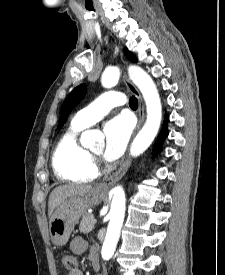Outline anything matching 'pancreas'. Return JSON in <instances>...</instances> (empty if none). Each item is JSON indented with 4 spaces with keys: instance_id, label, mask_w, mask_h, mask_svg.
Returning <instances> with one entry per match:
<instances>
[{
    "instance_id": "1",
    "label": "pancreas",
    "mask_w": 225,
    "mask_h": 275,
    "mask_svg": "<svg viewBox=\"0 0 225 275\" xmlns=\"http://www.w3.org/2000/svg\"><path fill=\"white\" fill-rule=\"evenodd\" d=\"M93 219H94V216L93 214H90V213H85L82 216V220L79 226V230L81 233L87 234L93 230L94 228Z\"/></svg>"
}]
</instances>
